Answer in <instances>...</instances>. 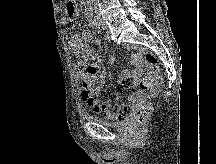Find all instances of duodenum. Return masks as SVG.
<instances>
[{"label":"duodenum","instance_id":"obj_1","mask_svg":"<svg viewBox=\"0 0 216 164\" xmlns=\"http://www.w3.org/2000/svg\"><path fill=\"white\" fill-rule=\"evenodd\" d=\"M68 6H73L72 0H69ZM86 12H87V16H88L89 20H91V9H90L89 5H87V7H86Z\"/></svg>","mask_w":216,"mask_h":164}]
</instances>
